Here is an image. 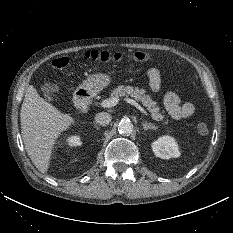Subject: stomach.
Here are the masks:
<instances>
[{
    "mask_svg": "<svg viewBox=\"0 0 233 233\" xmlns=\"http://www.w3.org/2000/svg\"><path fill=\"white\" fill-rule=\"evenodd\" d=\"M111 83V77L107 74L97 73L87 77V79L80 86L81 88L95 92L103 89Z\"/></svg>",
    "mask_w": 233,
    "mask_h": 233,
    "instance_id": "1",
    "label": "stomach"
}]
</instances>
